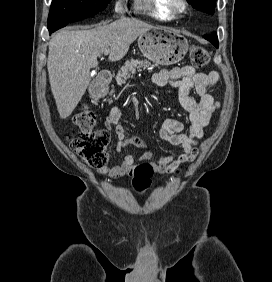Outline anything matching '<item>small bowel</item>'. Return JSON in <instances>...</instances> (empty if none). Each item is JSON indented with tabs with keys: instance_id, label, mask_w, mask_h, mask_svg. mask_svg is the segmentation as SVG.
<instances>
[{
	"instance_id": "1",
	"label": "small bowel",
	"mask_w": 272,
	"mask_h": 282,
	"mask_svg": "<svg viewBox=\"0 0 272 282\" xmlns=\"http://www.w3.org/2000/svg\"><path fill=\"white\" fill-rule=\"evenodd\" d=\"M219 76L215 71L210 73L198 72L193 66L162 69L153 75V82L158 86L173 85L178 88V97L181 107L189 114L190 125L185 129L183 123L176 118L168 117L160 128V138L171 145L179 147L176 154H162L153 159L151 151L144 141L139 138L128 137L120 124L122 111L114 108L105 120L107 129L114 128L117 137V151L135 145L144 151L136 159L131 154L123 156L121 161L101 169L97 173L108 179H116L131 173L137 162L144 161L158 173H166L182 164L193 161L198 152L195 146L204 136V130L209 125L212 114L220 107V103L212 94ZM194 90L199 100L191 97Z\"/></svg>"
}]
</instances>
